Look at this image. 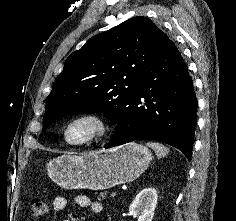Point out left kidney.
I'll return each mask as SVG.
<instances>
[{
	"instance_id": "1",
	"label": "left kidney",
	"mask_w": 236,
	"mask_h": 221,
	"mask_svg": "<svg viewBox=\"0 0 236 221\" xmlns=\"http://www.w3.org/2000/svg\"><path fill=\"white\" fill-rule=\"evenodd\" d=\"M157 199V191L154 188L141 190L129 206L130 215L138 221H152Z\"/></svg>"
}]
</instances>
